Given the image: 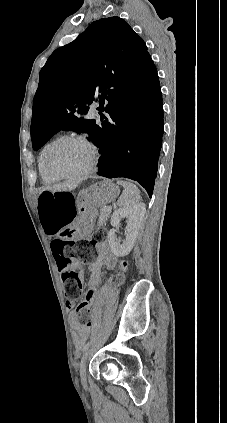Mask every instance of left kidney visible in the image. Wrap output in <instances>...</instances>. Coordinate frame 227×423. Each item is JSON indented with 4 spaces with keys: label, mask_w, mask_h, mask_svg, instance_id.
Listing matches in <instances>:
<instances>
[{
    "label": "left kidney",
    "mask_w": 227,
    "mask_h": 423,
    "mask_svg": "<svg viewBox=\"0 0 227 423\" xmlns=\"http://www.w3.org/2000/svg\"><path fill=\"white\" fill-rule=\"evenodd\" d=\"M145 211V204H137V206H133V208H119V210H115L114 213H112L111 223L113 229H110L107 237L110 249L117 257L128 255L129 251H131L138 235L139 227H141L145 217ZM122 217H128L126 225L127 233L125 239H117L115 227H119Z\"/></svg>",
    "instance_id": "1"
}]
</instances>
